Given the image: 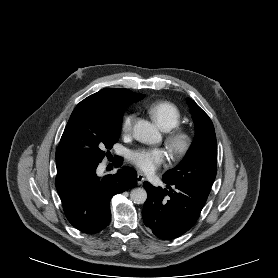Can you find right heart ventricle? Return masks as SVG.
<instances>
[{"mask_svg":"<svg viewBox=\"0 0 278 278\" xmlns=\"http://www.w3.org/2000/svg\"><path fill=\"white\" fill-rule=\"evenodd\" d=\"M147 111L164 131H170L177 127L182 120L181 111L170 101H156L147 107Z\"/></svg>","mask_w":278,"mask_h":278,"instance_id":"1","label":"right heart ventricle"}]
</instances>
